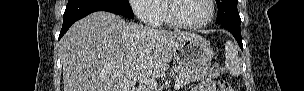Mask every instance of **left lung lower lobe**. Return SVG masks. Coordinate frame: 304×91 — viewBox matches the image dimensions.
Here are the masks:
<instances>
[{
    "instance_id": "0a47b994",
    "label": "left lung lower lobe",
    "mask_w": 304,
    "mask_h": 91,
    "mask_svg": "<svg viewBox=\"0 0 304 91\" xmlns=\"http://www.w3.org/2000/svg\"><path fill=\"white\" fill-rule=\"evenodd\" d=\"M219 25L222 28L227 29L228 31H230L233 34V36L237 40V43L239 44L240 48L243 50L241 31H240L241 19L233 18L228 21L222 22Z\"/></svg>"
}]
</instances>
